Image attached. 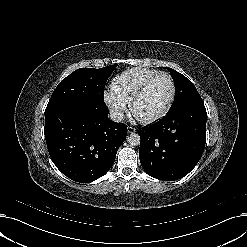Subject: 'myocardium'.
<instances>
[{"mask_svg": "<svg viewBox=\"0 0 247 247\" xmlns=\"http://www.w3.org/2000/svg\"><path fill=\"white\" fill-rule=\"evenodd\" d=\"M161 76L166 77L169 81V84H170V92H169V95H168V98H167L165 104L162 106V108L160 110H158L157 112H155L151 115L141 116V115L137 114L135 111L136 102L140 99L143 92L149 87V85ZM174 94H175V85H174L172 77L167 72H158L155 75L148 78L138 88V90L134 93V95L132 96V98L129 101V113L131 114V116H133L135 119H137L138 121H140L142 123L153 122L154 120L160 118L162 115L165 114V112L168 110V108L170 107V105L173 101Z\"/></svg>", "mask_w": 247, "mask_h": 247, "instance_id": "obj_1", "label": "myocardium"}]
</instances>
